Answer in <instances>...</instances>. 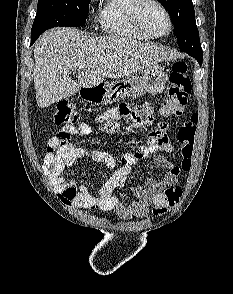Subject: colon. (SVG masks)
Here are the masks:
<instances>
[{"label": "colon", "instance_id": "5ec220e1", "mask_svg": "<svg viewBox=\"0 0 233 294\" xmlns=\"http://www.w3.org/2000/svg\"><path fill=\"white\" fill-rule=\"evenodd\" d=\"M192 85L188 76V66L185 61H176L169 75V84L160 113L164 117L181 116L187 104ZM199 117L193 113L186 119L178 131V140L181 145L180 168L188 172L192 164V156ZM52 122L56 125L78 126L80 118L73 105L69 102L58 103L52 114ZM61 142L69 139L67 134L60 135ZM182 196V190L177 187L168 188L157 194L153 201V213L162 215L176 205Z\"/></svg>", "mask_w": 233, "mask_h": 294}]
</instances>
